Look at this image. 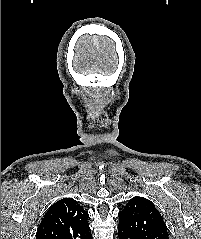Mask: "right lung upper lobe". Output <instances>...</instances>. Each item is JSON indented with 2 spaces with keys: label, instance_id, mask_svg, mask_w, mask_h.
<instances>
[{
  "label": "right lung upper lobe",
  "instance_id": "obj_1",
  "mask_svg": "<svg viewBox=\"0 0 201 239\" xmlns=\"http://www.w3.org/2000/svg\"><path fill=\"white\" fill-rule=\"evenodd\" d=\"M88 213L72 198L54 203L38 227L36 239H90Z\"/></svg>",
  "mask_w": 201,
  "mask_h": 239
}]
</instances>
